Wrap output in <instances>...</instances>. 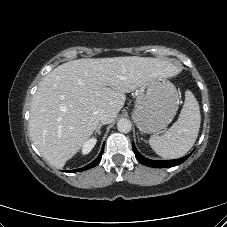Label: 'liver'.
Returning a JSON list of instances; mask_svg holds the SVG:
<instances>
[{"instance_id": "1", "label": "liver", "mask_w": 227, "mask_h": 227, "mask_svg": "<svg viewBox=\"0 0 227 227\" xmlns=\"http://www.w3.org/2000/svg\"><path fill=\"white\" fill-rule=\"evenodd\" d=\"M158 58H82L59 65L41 81L30 108L29 129L41 155L62 168L99 126V113L115 117L126 95L154 78L177 74Z\"/></svg>"}]
</instances>
